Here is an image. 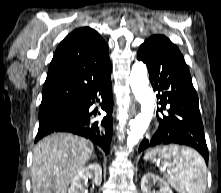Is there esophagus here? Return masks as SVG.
<instances>
[{"label":"esophagus","instance_id":"esophagus-1","mask_svg":"<svg viewBox=\"0 0 221 193\" xmlns=\"http://www.w3.org/2000/svg\"><path fill=\"white\" fill-rule=\"evenodd\" d=\"M130 103H132V102H130ZM135 106L134 105H132L131 106V115L133 116V115H135Z\"/></svg>","mask_w":221,"mask_h":193}]
</instances>
